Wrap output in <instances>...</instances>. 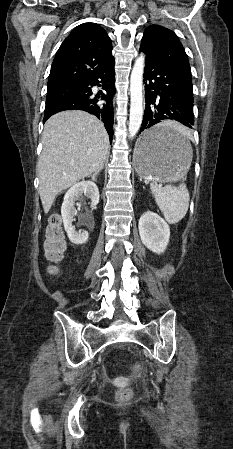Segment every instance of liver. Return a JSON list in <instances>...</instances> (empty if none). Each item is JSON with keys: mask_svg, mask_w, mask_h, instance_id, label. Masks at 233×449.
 Returning <instances> with one entry per match:
<instances>
[{"mask_svg": "<svg viewBox=\"0 0 233 449\" xmlns=\"http://www.w3.org/2000/svg\"><path fill=\"white\" fill-rule=\"evenodd\" d=\"M42 144L37 173L40 199L44 212L48 213L61 191L101 171L108 155L109 137L94 115L70 110L46 121Z\"/></svg>", "mask_w": 233, "mask_h": 449, "instance_id": "6515ba94", "label": "liver"}]
</instances>
